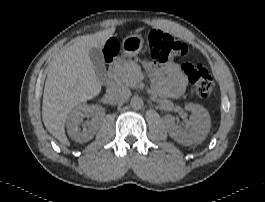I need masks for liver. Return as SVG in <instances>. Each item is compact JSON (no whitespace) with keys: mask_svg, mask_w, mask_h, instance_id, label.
<instances>
[{"mask_svg":"<svg viewBox=\"0 0 265 202\" xmlns=\"http://www.w3.org/2000/svg\"><path fill=\"white\" fill-rule=\"evenodd\" d=\"M114 32L115 28H111L78 37L72 45L60 51L49 65L42 119L48 132L64 145H70L65 134L69 113L77 105L98 96L101 91L89 50L93 47L103 48Z\"/></svg>","mask_w":265,"mask_h":202,"instance_id":"obj_1","label":"liver"}]
</instances>
